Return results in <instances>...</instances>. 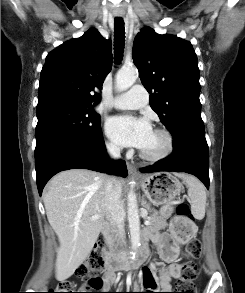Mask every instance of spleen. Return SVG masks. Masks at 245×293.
Listing matches in <instances>:
<instances>
[{
  "label": "spleen",
  "instance_id": "obj_1",
  "mask_svg": "<svg viewBox=\"0 0 245 293\" xmlns=\"http://www.w3.org/2000/svg\"><path fill=\"white\" fill-rule=\"evenodd\" d=\"M188 186V196L191 203V212L194 218L201 220L205 216L206 191L204 185L193 176L185 177Z\"/></svg>",
  "mask_w": 245,
  "mask_h": 293
}]
</instances>
